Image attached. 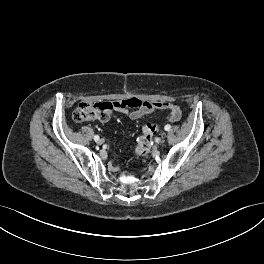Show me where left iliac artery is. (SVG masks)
<instances>
[{
    "label": "left iliac artery",
    "mask_w": 264,
    "mask_h": 264,
    "mask_svg": "<svg viewBox=\"0 0 264 264\" xmlns=\"http://www.w3.org/2000/svg\"><path fill=\"white\" fill-rule=\"evenodd\" d=\"M164 129H165L166 131H169V130L171 129V126H170L169 124H167V125H165Z\"/></svg>",
    "instance_id": "obj_1"
}]
</instances>
